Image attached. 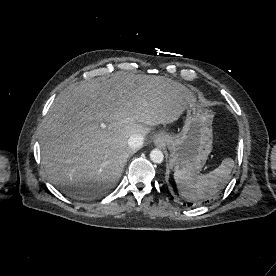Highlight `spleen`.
<instances>
[{
	"mask_svg": "<svg viewBox=\"0 0 276 276\" xmlns=\"http://www.w3.org/2000/svg\"><path fill=\"white\" fill-rule=\"evenodd\" d=\"M233 167V159L225 158L219 167L208 174L195 175L177 170L174 172V179L179 193L186 199H207L225 187Z\"/></svg>",
	"mask_w": 276,
	"mask_h": 276,
	"instance_id": "obj_1",
	"label": "spleen"
}]
</instances>
